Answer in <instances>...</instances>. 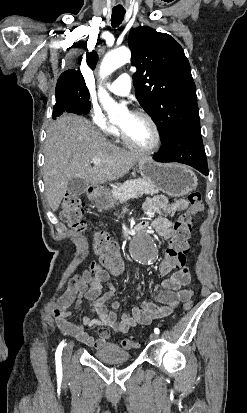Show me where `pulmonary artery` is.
Segmentation results:
<instances>
[{
	"label": "pulmonary artery",
	"mask_w": 247,
	"mask_h": 413,
	"mask_svg": "<svg viewBox=\"0 0 247 413\" xmlns=\"http://www.w3.org/2000/svg\"><path fill=\"white\" fill-rule=\"evenodd\" d=\"M132 76L128 73H122L113 81H107L106 88L114 94L125 96L130 93L132 88Z\"/></svg>",
	"instance_id": "pulmonary-artery-1"
}]
</instances>
